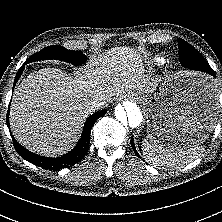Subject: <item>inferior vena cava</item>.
I'll list each match as a JSON object with an SVG mask.
<instances>
[{
	"label": "inferior vena cava",
	"mask_w": 222,
	"mask_h": 222,
	"mask_svg": "<svg viewBox=\"0 0 222 222\" xmlns=\"http://www.w3.org/2000/svg\"><path fill=\"white\" fill-rule=\"evenodd\" d=\"M107 106V100L103 97L95 98L88 102V107L90 111L98 110Z\"/></svg>",
	"instance_id": "1"
}]
</instances>
